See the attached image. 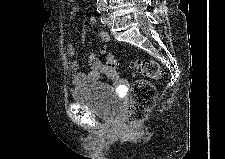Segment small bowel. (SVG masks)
Wrapping results in <instances>:
<instances>
[{
	"label": "small bowel",
	"mask_w": 225,
	"mask_h": 159,
	"mask_svg": "<svg viewBox=\"0 0 225 159\" xmlns=\"http://www.w3.org/2000/svg\"><path fill=\"white\" fill-rule=\"evenodd\" d=\"M78 11V6L73 5L71 7V14H75ZM93 21V20H92ZM99 39L100 41L106 45L110 41L109 35L104 31H99ZM67 54L71 58L69 67L71 72L73 73L72 81L74 85H80L87 81H93L99 79L101 76H107L109 78L115 79L116 77H112L108 74L106 65L103 64L102 60L99 56L92 54L89 59L90 71L81 72L79 70V62L74 59L75 48L72 44L67 46Z\"/></svg>",
	"instance_id": "obj_1"
}]
</instances>
